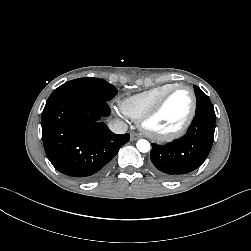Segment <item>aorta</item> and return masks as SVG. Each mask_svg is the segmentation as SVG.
<instances>
[{
    "instance_id": "aorta-1",
    "label": "aorta",
    "mask_w": 251,
    "mask_h": 251,
    "mask_svg": "<svg viewBox=\"0 0 251 251\" xmlns=\"http://www.w3.org/2000/svg\"><path fill=\"white\" fill-rule=\"evenodd\" d=\"M136 146L137 149L142 153H146L150 150V143L145 139L138 140Z\"/></svg>"
}]
</instances>
